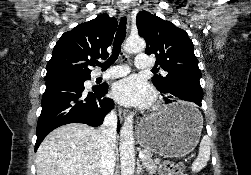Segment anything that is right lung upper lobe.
Masks as SVG:
<instances>
[{
	"mask_svg": "<svg viewBox=\"0 0 251 175\" xmlns=\"http://www.w3.org/2000/svg\"><path fill=\"white\" fill-rule=\"evenodd\" d=\"M116 28L117 20L102 14L64 33L53 49L44 80L89 78L88 66L108 57L106 49L112 43Z\"/></svg>",
	"mask_w": 251,
	"mask_h": 175,
	"instance_id": "cb5924a9",
	"label": "right lung upper lobe"
}]
</instances>
